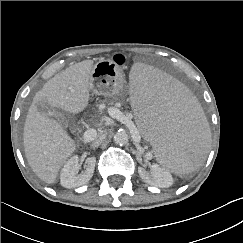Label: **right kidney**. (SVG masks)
Here are the masks:
<instances>
[{
  "mask_svg": "<svg viewBox=\"0 0 243 243\" xmlns=\"http://www.w3.org/2000/svg\"><path fill=\"white\" fill-rule=\"evenodd\" d=\"M95 157H88L85 161V171L77 174L80 168L79 157H71L61 170L60 181L65 188H76L86 184L93 176L95 168Z\"/></svg>",
  "mask_w": 243,
  "mask_h": 243,
  "instance_id": "ca27d5eb",
  "label": "right kidney"
}]
</instances>
